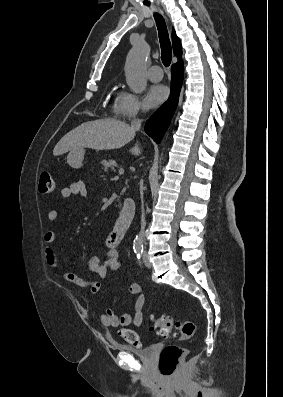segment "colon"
Here are the masks:
<instances>
[{"label": "colon", "instance_id": "colon-1", "mask_svg": "<svg viewBox=\"0 0 283 397\" xmlns=\"http://www.w3.org/2000/svg\"><path fill=\"white\" fill-rule=\"evenodd\" d=\"M38 190L41 194L49 195L55 191V182L50 172L43 171L39 177ZM175 326L177 336L180 339H189L195 333V324L191 321L175 322L171 316H160L153 321L151 330L156 331L157 335L166 338L170 335ZM119 335L132 345H139L138 335L129 329H121ZM187 354V350L176 344L166 345L160 354L159 370L165 377H171L178 371L182 360Z\"/></svg>", "mask_w": 283, "mask_h": 397}]
</instances>
